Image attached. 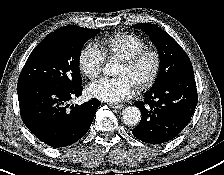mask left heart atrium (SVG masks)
<instances>
[{"mask_svg": "<svg viewBox=\"0 0 224 175\" xmlns=\"http://www.w3.org/2000/svg\"><path fill=\"white\" fill-rule=\"evenodd\" d=\"M88 91L95 98L114 103L130 98L135 92V84L127 76L103 77L92 82Z\"/></svg>", "mask_w": 224, "mask_h": 175, "instance_id": "obj_1", "label": "left heart atrium"}]
</instances>
